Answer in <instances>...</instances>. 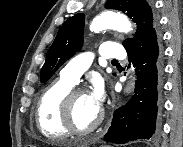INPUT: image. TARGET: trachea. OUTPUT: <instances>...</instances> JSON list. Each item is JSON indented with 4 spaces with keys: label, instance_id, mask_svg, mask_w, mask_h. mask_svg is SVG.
Listing matches in <instances>:
<instances>
[{
    "label": "trachea",
    "instance_id": "1",
    "mask_svg": "<svg viewBox=\"0 0 183 147\" xmlns=\"http://www.w3.org/2000/svg\"><path fill=\"white\" fill-rule=\"evenodd\" d=\"M112 62H117V60H112Z\"/></svg>",
    "mask_w": 183,
    "mask_h": 147
}]
</instances>
